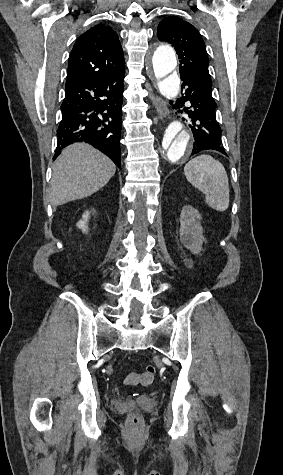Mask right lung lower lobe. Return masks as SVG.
<instances>
[{
  "label": "right lung lower lobe",
  "mask_w": 283,
  "mask_h": 475,
  "mask_svg": "<svg viewBox=\"0 0 283 475\" xmlns=\"http://www.w3.org/2000/svg\"><path fill=\"white\" fill-rule=\"evenodd\" d=\"M124 73L66 85L54 159L67 145L86 142L120 167Z\"/></svg>",
  "instance_id": "98d812e1"
}]
</instances>
